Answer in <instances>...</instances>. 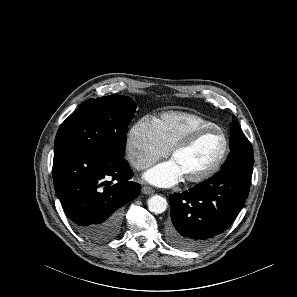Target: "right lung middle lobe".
<instances>
[{
    "mask_svg": "<svg viewBox=\"0 0 297 297\" xmlns=\"http://www.w3.org/2000/svg\"><path fill=\"white\" fill-rule=\"evenodd\" d=\"M135 109L136 103L122 95L89 99L61 124L54 148H93L123 157Z\"/></svg>",
    "mask_w": 297,
    "mask_h": 297,
    "instance_id": "dd1d6c3e",
    "label": "right lung middle lobe"
}]
</instances>
